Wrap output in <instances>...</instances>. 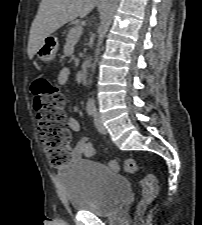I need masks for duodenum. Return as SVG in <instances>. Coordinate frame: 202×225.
Instances as JSON below:
<instances>
[{
	"label": "duodenum",
	"instance_id": "obj_1",
	"mask_svg": "<svg viewBox=\"0 0 202 225\" xmlns=\"http://www.w3.org/2000/svg\"><path fill=\"white\" fill-rule=\"evenodd\" d=\"M89 66L90 63L88 61H84L81 64V69H80V75H81V80L83 83H86L88 80V76H89Z\"/></svg>",
	"mask_w": 202,
	"mask_h": 225
}]
</instances>
